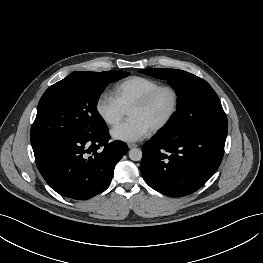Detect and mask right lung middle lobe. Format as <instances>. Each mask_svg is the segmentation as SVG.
Wrapping results in <instances>:
<instances>
[{
  "label": "right lung middle lobe",
  "mask_w": 263,
  "mask_h": 263,
  "mask_svg": "<svg viewBox=\"0 0 263 263\" xmlns=\"http://www.w3.org/2000/svg\"><path fill=\"white\" fill-rule=\"evenodd\" d=\"M128 72H74L42 95L30 139L33 150L60 138L88 135L106 127L97 102L109 83Z\"/></svg>",
  "instance_id": "1"
}]
</instances>
